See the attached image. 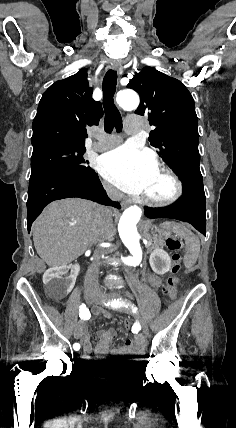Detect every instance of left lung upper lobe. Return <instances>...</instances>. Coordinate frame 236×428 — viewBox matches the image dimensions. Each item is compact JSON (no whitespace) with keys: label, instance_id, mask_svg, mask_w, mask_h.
Wrapping results in <instances>:
<instances>
[{"label":"left lung upper lobe","instance_id":"left-lung-upper-lobe-1","mask_svg":"<svg viewBox=\"0 0 236 428\" xmlns=\"http://www.w3.org/2000/svg\"><path fill=\"white\" fill-rule=\"evenodd\" d=\"M140 96L135 111L148 115L151 145L181 180L200 178L199 134L194 100L185 85L153 67H144L127 85Z\"/></svg>","mask_w":236,"mask_h":428}]
</instances>
